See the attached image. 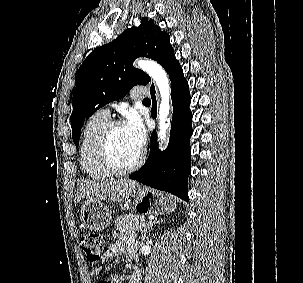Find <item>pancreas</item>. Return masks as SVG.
Here are the masks:
<instances>
[{
	"mask_svg": "<svg viewBox=\"0 0 303 283\" xmlns=\"http://www.w3.org/2000/svg\"><path fill=\"white\" fill-rule=\"evenodd\" d=\"M144 221L145 218L143 215L126 214L117 218L115 221V228L121 234L142 231V224Z\"/></svg>",
	"mask_w": 303,
	"mask_h": 283,
	"instance_id": "pancreas-1",
	"label": "pancreas"
}]
</instances>
